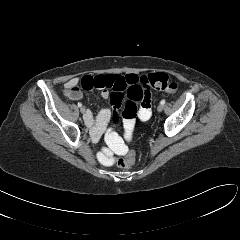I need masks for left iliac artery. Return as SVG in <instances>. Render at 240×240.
<instances>
[{
	"instance_id": "1",
	"label": "left iliac artery",
	"mask_w": 240,
	"mask_h": 240,
	"mask_svg": "<svg viewBox=\"0 0 240 240\" xmlns=\"http://www.w3.org/2000/svg\"><path fill=\"white\" fill-rule=\"evenodd\" d=\"M165 103H166L165 99L161 100V102H160L161 105H164Z\"/></svg>"
}]
</instances>
